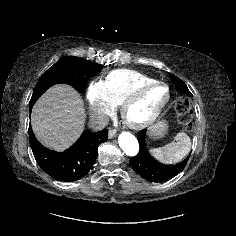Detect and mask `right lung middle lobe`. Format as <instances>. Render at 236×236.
Returning a JSON list of instances; mask_svg holds the SVG:
<instances>
[{
  "label": "right lung middle lobe",
  "mask_w": 236,
  "mask_h": 236,
  "mask_svg": "<svg viewBox=\"0 0 236 236\" xmlns=\"http://www.w3.org/2000/svg\"><path fill=\"white\" fill-rule=\"evenodd\" d=\"M103 65L92 63L88 60L66 56L52 65L38 80L29 106L34 105L37 99L51 86L66 83L83 92L90 77L99 73Z\"/></svg>",
  "instance_id": "1"
}]
</instances>
